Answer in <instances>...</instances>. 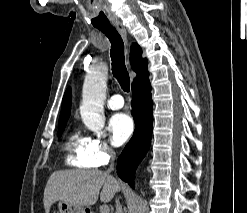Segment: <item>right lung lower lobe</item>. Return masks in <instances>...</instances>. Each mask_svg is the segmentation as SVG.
<instances>
[{
    "label": "right lung lower lobe",
    "mask_w": 247,
    "mask_h": 213,
    "mask_svg": "<svg viewBox=\"0 0 247 213\" xmlns=\"http://www.w3.org/2000/svg\"><path fill=\"white\" fill-rule=\"evenodd\" d=\"M132 115L135 121L133 137L124 148L117 161V174L131 187L134 185L135 171L146 155L152 136L153 101L149 76L132 83Z\"/></svg>",
    "instance_id": "98d812e1"
}]
</instances>
